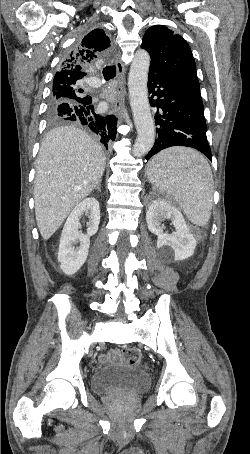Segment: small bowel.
Segmentation results:
<instances>
[{
    "label": "small bowel",
    "mask_w": 250,
    "mask_h": 454,
    "mask_svg": "<svg viewBox=\"0 0 250 454\" xmlns=\"http://www.w3.org/2000/svg\"><path fill=\"white\" fill-rule=\"evenodd\" d=\"M116 354H117V353L114 351V352H112L111 354L103 355V356H101V361H102V362H107V361H109L111 358L115 357Z\"/></svg>",
    "instance_id": "c3829d8e"
}]
</instances>
